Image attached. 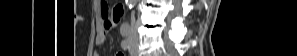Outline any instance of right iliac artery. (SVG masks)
Returning a JSON list of instances; mask_svg holds the SVG:
<instances>
[{
  "label": "right iliac artery",
  "mask_w": 297,
  "mask_h": 56,
  "mask_svg": "<svg viewBox=\"0 0 297 56\" xmlns=\"http://www.w3.org/2000/svg\"><path fill=\"white\" fill-rule=\"evenodd\" d=\"M121 47H122L124 50L128 49V48H129V41H128L127 39L123 40V41L121 42Z\"/></svg>",
  "instance_id": "82829eb1"
}]
</instances>
